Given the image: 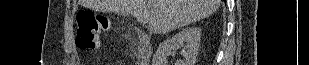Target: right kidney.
Segmentation results:
<instances>
[{"instance_id":"ca27d5eb","label":"right kidney","mask_w":309,"mask_h":65,"mask_svg":"<svg viewBox=\"0 0 309 65\" xmlns=\"http://www.w3.org/2000/svg\"><path fill=\"white\" fill-rule=\"evenodd\" d=\"M201 32L196 27H187L182 29L171 38L163 41L155 52L152 65H163L167 54L186 45V52L183 59L176 61V65H194L200 46Z\"/></svg>"}]
</instances>
